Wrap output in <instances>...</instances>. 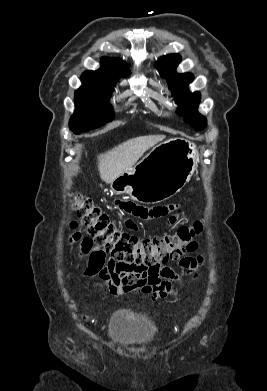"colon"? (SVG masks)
I'll use <instances>...</instances> for the list:
<instances>
[{"label": "colon", "instance_id": "1", "mask_svg": "<svg viewBox=\"0 0 267 391\" xmlns=\"http://www.w3.org/2000/svg\"><path fill=\"white\" fill-rule=\"evenodd\" d=\"M73 210L86 226L88 237L78 239L87 253H108L118 263L139 266L147 271L163 267L169 261L179 260L197 247L196 237L203 224L180 227L176 233L139 239L117 228L110 217L91 200L81 194L70 193Z\"/></svg>", "mask_w": 267, "mask_h": 391}]
</instances>
